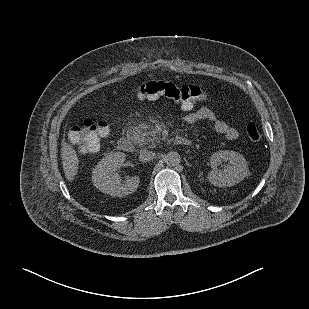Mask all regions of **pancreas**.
<instances>
[{
    "label": "pancreas",
    "mask_w": 309,
    "mask_h": 309,
    "mask_svg": "<svg viewBox=\"0 0 309 309\" xmlns=\"http://www.w3.org/2000/svg\"><path fill=\"white\" fill-rule=\"evenodd\" d=\"M138 134L141 135V136H145V135H146V136H145V140L148 141V142H151V143L153 142V139H152V138L154 137L153 134H152V136H151V135H148V133H146V132H144V131H142V130H139V131H138ZM155 137H156V135H155Z\"/></svg>",
    "instance_id": "1"
}]
</instances>
